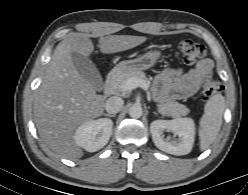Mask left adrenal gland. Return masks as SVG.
<instances>
[{
	"label": "left adrenal gland",
	"mask_w": 248,
	"mask_h": 195,
	"mask_svg": "<svg viewBox=\"0 0 248 195\" xmlns=\"http://www.w3.org/2000/svg\"><path fill=\"white\" fill-rule=\"evenodd\" d=\"M155 115H157V113L156 112H153Z\"/></svg>",
	"instance_id": "1"
}]
</instances>
